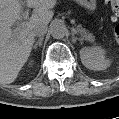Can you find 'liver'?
<instances>
[{
  "label": "liver",
  "instance_id": "liver-1",
  "mask_svg": "<svg viewBox=\"0 0 119 119\" xmlns=\"http://www.w3.org/2000/svg\"><path fill=\"white\" fill-rule=\"evenodd\" d=\"M33 7L31 18L13 35L11 25L21 18L20 0H0V83H13L27 62L35 41L34 27L48 24L56 0H26Z\"/></svg>",
  "mask_w": 119,
  "mask_h": 119
}]
</instances>
